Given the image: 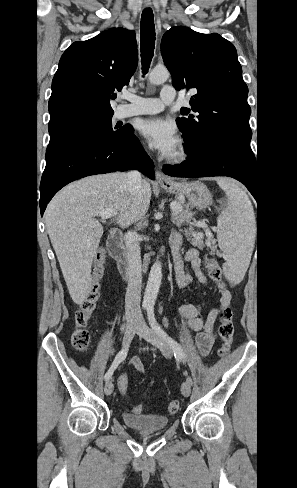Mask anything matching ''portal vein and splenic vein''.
<instances>
[{
    "label": "portal vein and splenic vein",
    "mask_w": 297,
    "mask_h": 488,
    "mask_svg": "<svg viewBox=\"0 0 297 488\" xmlns=\"http://www.w3.org/2000/svg\"><path fill=\"white\" fill-rule=\"evenodd\" d=\"M171 209L174 211V210H180L181 207L178 205V204H175V203H172L170 205ZM113 213H114V210H111V209H106V210H102L98 213H96L97 216H101L102 219H106V218H110L113 216Z\"/></svg>",
    "instance_id": "1"
}]
</instances>
